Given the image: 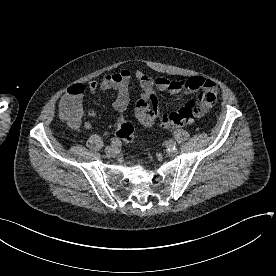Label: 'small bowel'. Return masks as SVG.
Here are the masks:
<instances>
[{
  "label": "small bowel",
  "instance_id": "obj_1",
  "mask_svg": "<svg viewBox=\"0 0 276 276\" xmlns=\"http://www.w3.org/2000/svg\"><path fill=\"white\" fill-rule=\"evenodd\" d=\"M135 78L140 84L143 91V96L147 97L152 93L154 88L162 92H169L173 94L191 93L201 90L202 93L198 98L197 103L201 107V111L209 110L217 100L219 89L217 84L203 76H192L179 80H172L166 77L151 78L143 71H136ZM132 78V72L129 69H122L118 72L105 74L100 81H91L88 85L76 84L71 86L60 103L61 114L63 109L67 107H75L78 110V117L75 120H67L72 128H78L82 124L84 114L90 117H95L97 111L94 109L86 110L83 106V99L87 92L92 94L103 93L108 90H115L117 93L116 99L113 102V107L117 112L126 110L130 100L129 85ZM138 115V113H137ZM139 117V115H138ZM146 126H150L142 121ZM85 128H91V123L83 122Z\"/></svg>",
  "mask_w": 276,
  "mask_h": 276
}]
</instances>
